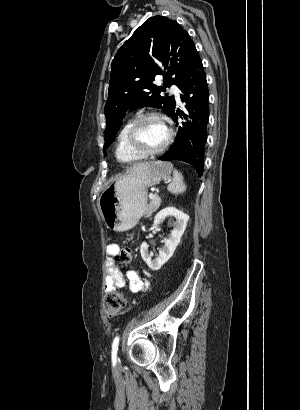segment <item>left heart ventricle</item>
Segmentation results:
<instances>
[{"mask_svg":"<svg viewBox=\"0 0 300 410\" xmlns=\"http://www.w3.org/2000/svg\"><path fill=\"white\" fill-rule=\"evenodd\" d=\"M137 137L144 149L154 150L165 142L167 130L160 120L149 119L141 124Z\"/></svg>","mask_w":300,"mask_h":410,"instance_id":"left-heart-ventricle-1","label":"left heart ventricle"}]
</instances>
